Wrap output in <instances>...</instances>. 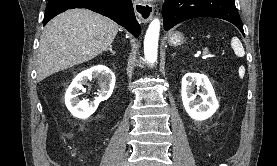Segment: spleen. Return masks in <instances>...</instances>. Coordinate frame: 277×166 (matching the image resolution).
I'll return each instance as SVG.
<instances>
[{"instance_id":"3e777b00","label":"spleen","mask_w":277,"mask_h":166,"mask_svg":"<svg viewBox=\"0 0 277 166\" xmlns=\"http://www.w3.org/2000/svg\"><path fill=\"white\" fill-rule=\"evenodd\" d=\"M231 47L233 48L235 54L238 57H243L245 55L244 48L242 46V43L237 37H233L231 40Z\"/></svg>"}]
</instances>
